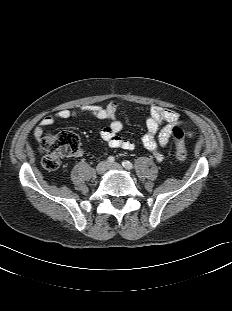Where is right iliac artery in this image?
<instances>
[{
  "instance_id": "obj_1",
  "label": "right iliac artery",
  "mask_w": 232,
  "mask_h": 311,
  "mask_svg": "<svg viewBox=\"0 0 232 311\" xmlns=\"http://www.w3.org/2000/svg\"><path fill=\"white\" fill-rule=\"evenodd\" d=\"M107 161H108L109 163H113V162L115 161V159H114L113 156H109L108 159H107Z\"/></svg>"
}]
</instances>
